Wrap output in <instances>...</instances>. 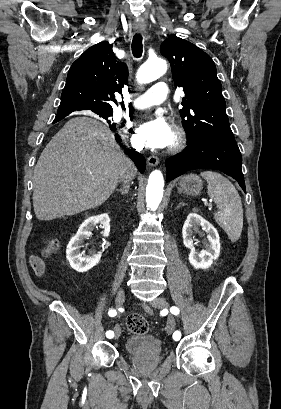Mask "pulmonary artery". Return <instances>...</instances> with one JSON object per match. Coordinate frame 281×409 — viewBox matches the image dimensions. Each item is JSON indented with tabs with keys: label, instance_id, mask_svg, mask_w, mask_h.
<instances>
[{
	"label": "pulmonary artery",
	"instance_id": "obj_1",
	"mask_svg": "<svg viewBox=\"0 0 281 409\" xmlns=\"http://www.w3.org/2000/svg\"><path fill=\"white\" fill-rule=\"evenodd\" d=\"M166 81H154L153 90H146L144 97H137L135 99L136 107L139 109H146L155 105L163 103L164 99H169L171 93Z\"/></svg>",
	"mask_w": 281,
	"mask_h": 409
}]
</instances>
